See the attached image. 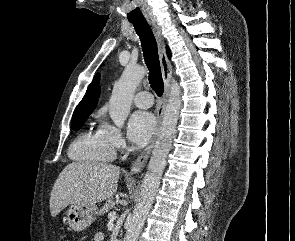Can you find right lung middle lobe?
<instances>
[{
	"label": "right lung middle lobe",
	"instance_id": "right-lung-middle-lobe-1",
	"mask_svg": "<svg viewBox=\"0 0 295 241\" xmlns=\"http://www.w3.org/2000/svg\"><path fill=\"white\" fill-rule=\"evenodd\" d=\"M90 113H85V114H80V115H75L72 118V129L73 130H79L84 122L87 120L88 116Z\"/></svg>",
	"mask_w": 295,
	"mask_h": 241
}]
</instances>
